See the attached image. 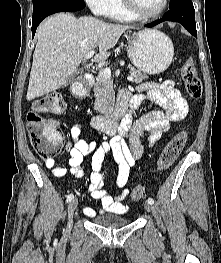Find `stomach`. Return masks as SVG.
I'll use <instances>...</instances> for the list:
<instances>
[{
  "label": "stomach",
  "instance_id": "stomach-1",
  "mask_svg": "<svg viewBox=\"0 0 221 263\" xmlns=\"http://www.w3.org/2000/svg\"><path fill=\"white\" fill-rule=\"evenodd\" d=\"M127 40L130 60L138 70L144 73H162L173 61V43L161 31L143 30L131 35Z\"/></svg>",
  "mask_w": 221,
  "mask_h": 263
}]
</instances>
